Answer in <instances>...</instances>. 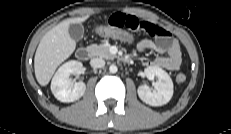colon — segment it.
I'll use <instances>...</instances> for the list:
<instances>
[{
	"instance_id": "1",
	"label": "colon",
	"mask_w": 231,
	"mask_h": 134,
	"mask_svg": "<svg viewBox=\"0 0 231 134\" xmlns=\"http://www.w3.org/2000/svg\"><path fill=\"white\" fill-rule=\"evenodd\" d=\"M95 33L101 37L115 39L124 43L135 42L137 44L140 42L134 33L124 29L114 28L109 25H101L96 27ZM176 80L178 83H184L186 81V75L179 73L176 76Z\"/></svg>"
}]
</instances>
